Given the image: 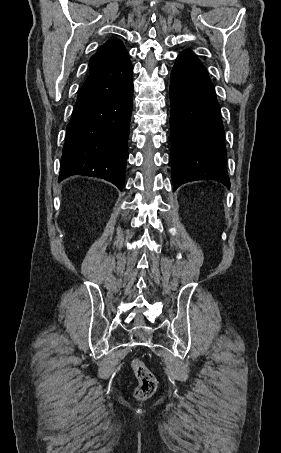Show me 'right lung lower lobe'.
<instances>
[{
    "label": "right lung lower lobe",
    "instance_id": "obj_1",
    "mask_svg": "<svg viewBox=\"0 0 281 453\" xmlns=\"http://www.w3.org/2000/svg\"><path fill=\"white\" fill-rule=\"evenodd\" d=\"M132 98L127 51L89 73L67 126L59 182L80 174L123 189Z\"/></svg>",
    "mask_w": 281,
    "mask_h": 453
}]
</instances>
